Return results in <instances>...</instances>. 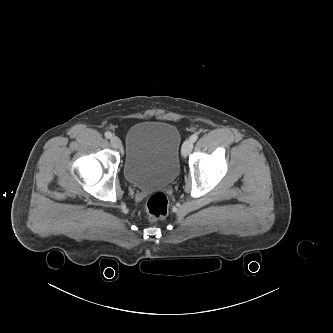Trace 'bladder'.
Instances as JSON below:
<instances>
[{"label":"bladder","instance_id":"1","mask_svg":"<svg viewBox=\"0 0 333 333\" xmlns=\"http://www.w3.org/2000/svg\"><path fill=\"white\" fill-rule=\"evenodd\" d=\"M182 144L179 128L166 121H142L129 128L123 173L142 190L164 188L177 178Z\"/></svg>","mask_w":333,"mask_h":333}]
</instances>
